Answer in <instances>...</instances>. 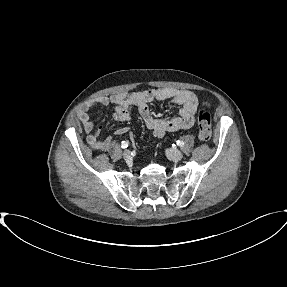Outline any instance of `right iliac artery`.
Listing matches in <instances>:
<instances>
[{"instance_id":"82829eb1","label":"right iliac artery","mask_w":287,"mask_h":287,"mask_svg":"<svg viewBox=\"0 0 287 287\" xmlns=\"http://www.w3.org/2000/svg\"><path fill=\"white\" fill-rule=\"evenodd\" d=\"M128 145H129L128 141H122V143H121L122 148H127Z\"/></svg>"}]
</instances>
